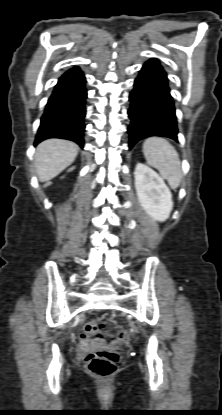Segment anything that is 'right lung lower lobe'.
Here are the masks:
<instances>
[{"mask_svg":"<svg viewBox=\"0 0 222 415\" xmlns=\"http://www.w3.org/2000/svg\"><path fill=\"white\" fill-rule=\"evenodd\" d=\"M85 83V76L78 66L59 78L41 118L35 145L45 139L61 138L84 146Z\"/></svg>","mask_w":222,"mask_h":415,"instance_id":"98d812e1","label":"right lung lower lobe"}]
</instances>
